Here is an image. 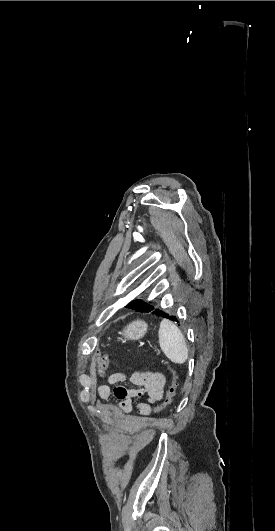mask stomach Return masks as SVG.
Returning <instances> with one entry per match:
<instances>
[{
    "instance_id": "obj_1",
    "label": "stomach",
    "mask_w": 275,
    "mask_h": 531,
    "mask_svg": "<svg viewBox=\"0 0 275 531\" xmlns=\"http://www.w3.org/2000/svg\"><path fill=\"white\" fill-rule=\"evenodd\" d=\"M148 331V325L145 323V321H132V323H129V325H126L124 327L122 333V337L124 339H131V341H138V339H142L144 335H146Z\"/></svg>"
}]
</instances>
